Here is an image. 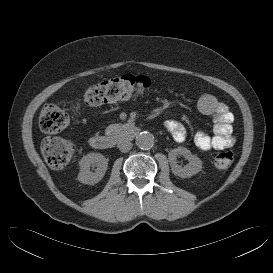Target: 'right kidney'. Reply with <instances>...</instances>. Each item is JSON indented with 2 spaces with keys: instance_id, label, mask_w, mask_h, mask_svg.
I'll use <instances>...</instances> for the list:
<instances>
[{
  "instance_id": "ca27d5eb",
  "label": "right kidney",
  "mask_w": 273,
  "mask_h": 273,
  "mask_svg": "<svg viewBox=\"0 0 273 273\" xmlns=\"http://www.w3.org/2000/svg\"><path fill=\"white\" fill-rule=\"evenodd\" d=\"M91 164L96 165L95 172L90 171ZM107 167L108 160L102 154L88 153L79 161L78 180L83 184L93 185L104 177Z\"/></svg>"
}]
</instances>
